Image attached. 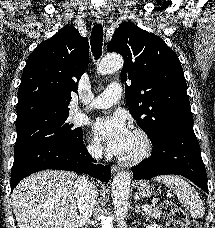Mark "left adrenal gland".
Segmentation results:
<instances>
[{
	"label": "left adrenal gland",
	"mask_w": 215,
	"mask_h": 228,
	"mask_svg": "<svg viewBox=\"0 0 215 228\" xmlns=\"http://www.w3.org/2000/svg\"><path fill=\"white\" fill-rule=\"evenodd\" d=\"M135 208L136 214H142V216H146L145 212H142L141 208H139V204H135Z\"/></svg>",
	"instance_id": "left-adrenal-gland-1"
}]
</instances>
